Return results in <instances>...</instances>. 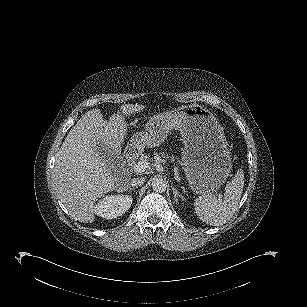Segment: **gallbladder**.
I'll list each match as a JSON object with an SVG mask.
<instances>
[{
  "mask_svg": "<svg viewBox=\"0 0 307 307\" xmlns=\"http://www.w3.org/2000/svg\"><path fill=\"white\" fill-rule=\"evenodd\" d=\"M97 151L100 152V153H102V155H104V153H106V152L103 150V148H101V147L98 148Z\"/></svg>",
  "mask_w": 307,
  "mask_h": 307,
  "instance_id": "1",
  "label": "gallbladder"
}]
</instances>
